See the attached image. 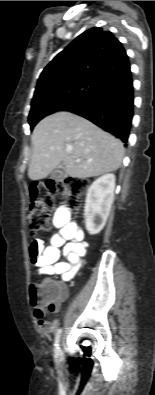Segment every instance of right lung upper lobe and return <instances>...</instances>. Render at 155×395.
<instances>
[{"label":"right lung upper lobe","mask_w":155,"mask_h":395,"mask_svg":"<svg viewBox=\"0 0 155 395\" xmlns=\"http://www.w3.org/2000/svg\"><path fill=\"white\" fill-rule=\"evenodd\" d=\"M129 68L121 42L111 32L95 27L78 36L44 68L35 93L74 80L101 82L109 74Z\"/></svg>","instance_id":"right-lung-upper-lobe-1"}]
</instances>
